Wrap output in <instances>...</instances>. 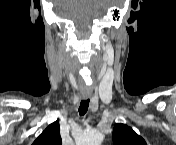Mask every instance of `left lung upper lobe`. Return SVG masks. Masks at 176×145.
Listing matches in <instances>:
<instances>
[{
    "instance_id": "obj_1",
    "label": "left lung upper lobe",
    "mask_w": 176,
    "mask_h": 145,
    "mask_svg": "<svg viewBox=\"0 0 176 145\" xmlns=\"http://www.w3.org/2000/svg\"><path fill=\"white\" fill-rule=\"evenodd\" d=\"M113 143L114 145H146L145 140L125 124H115Z\"/></svg>"
}]
</instances>
